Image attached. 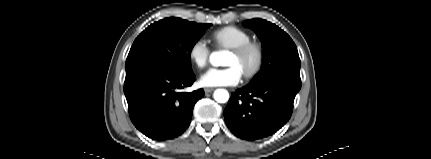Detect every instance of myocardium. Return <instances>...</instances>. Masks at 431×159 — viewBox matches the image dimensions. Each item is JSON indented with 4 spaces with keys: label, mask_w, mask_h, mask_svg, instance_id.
<instances>
[{
    "label": "myocardium",
    "mask_w": 431,
    "mask_h": 159,
    "mask_svg": "<svg viewBox=\"0 0 431 159\" xmlns=\"http://www.w3.org/2000/svg\"><path fill=\"white\" fill-rule=\"evenodd\" d=\"M230 51L241 60H251L249 67L242 72L245 78H252L260 71L264 60V49L260 43L250 41Z\"/></svg>",
    "instance_id": "f54148a6"
}]
</instances>
